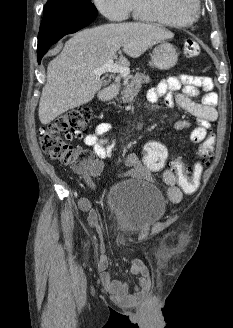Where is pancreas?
<instances>
[{
    "label": "pancreas",
    "mask_w": 233,
    "mask_h": 328,
    "mask_svg": "<svg viewBox=\"0 0 233 328\" xmlns=\"http://www.w3.org/2000/svg\"><path fill=\"white\" fill-rule=\"evenodd\" d=\"M130 79V82L129 79H125L123 82V85L125 86L121 91V99L123 103L129 102L130 99L141 90L142 84L149 83L151 81L149 76L139 72L134 76H131Z\"/></svg>",
    "instance_id": "obj_1"
}]
</instances>
